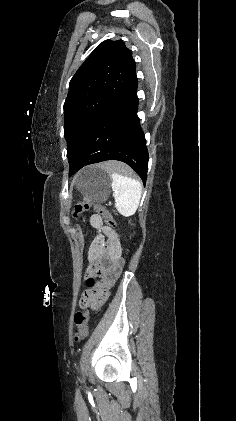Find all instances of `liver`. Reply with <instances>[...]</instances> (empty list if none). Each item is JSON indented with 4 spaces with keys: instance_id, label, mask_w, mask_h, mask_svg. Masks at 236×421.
I'll list each match as a JSON object with an SVG mask.
<instances>
[{
    "instance_id": "1",
    "label": "liver",
    "mask_w": 236,
    "mask_h": 421,
    "mask_svg": "<svg viewBox=\"0 0 236 421\" xmlns=\"http://www.w3.org/2000/svg\"><path fill=\"white\" fill-rule=\"evenodd\" d=\"M100 166H102V168H107V170H109V168H111V162H101Z\"/></svg>"
}]
</instances>
